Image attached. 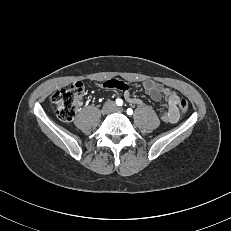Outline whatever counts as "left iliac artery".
Instances as JSON below:
<instances>
[{
    "mask_svg": "<svg viewBox=\"0 0 231 231\" xmlns=\"http://www.w3.org/2000/svg\"><path fill=\"white\" fill-rule=\"evenodd\" d=\"M132 113H133V110H132L131 108H128V109H127V114H128V115H132Z\"/></svg>",
    "mask_w": 231,
    "mask_h": 231,
    "instance_id": "1",
    "label": "left iliac artery"
}]
</instances>
